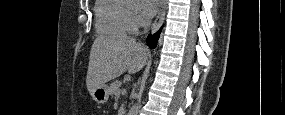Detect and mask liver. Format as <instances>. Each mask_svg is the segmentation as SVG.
<instances>
[{"instance_id": "6515ba94", "label": "liver", "mask_w": 285, "mask_h": 115, "mask_svg": "<svg viewBox=\"0 0 285 115\" xmlns=\"http://www.w3.org/2000/svg\"><path fill=\"white\" fill-rule=\"evenodd\" d=\"M147 61V49L134 38L118 35L98 37L91 48L86 77L89 92L128 70H141Z\"/></svg>"}]
</instances>
